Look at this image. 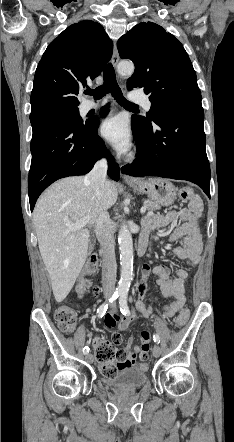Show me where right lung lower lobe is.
<instances>
[{"label":"right lung lower lobe","instance_id":"1","mask_svg":"<svg viewBox=\"0 0 234 442\" xmlns=\"http://www.w3.org/2000/svg\"><path fill=\"white\" fill-rule=\"evenodd\" d=\"M108 105L101 110L102 116ZM33 129L32 161L28 177L31 211L39 195L54 181L74 175H85L101 157L108 159V175L120 178L119 166L98 136L99 119L78 123L65 114L30 115Z\"/></svg>","mask_w":234,"mask_h":442}]
</instances>
